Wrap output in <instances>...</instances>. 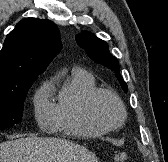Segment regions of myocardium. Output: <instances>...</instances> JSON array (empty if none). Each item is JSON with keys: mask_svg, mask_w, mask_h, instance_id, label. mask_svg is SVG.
Instances as JSON below:
<instances>
[{"mask_svg": "<svg viewBox=\"0 0 168 162\" xmlns=\"http://www.w3.org/2000/svg\"><path fill=\"white\" fill-rule=\"evenodd\" d=\"M102 95H106V96L113 98L120 109V120L115 125H107L99 118V116L96 113V102H97V99ZM85 107H86V113H87L89 119L96 126L100 127L104 131L117 130V129L121 128L126 121L127 113H126L125 105H124L123 101L121 100V98L119 97V95L110 89H105V88L95 89L87 97Z\"/></svg>", "mask_w": 168, "mask_h": 162, "instance_id": "obj_1", "label": "myocardium"}]
</instances>
